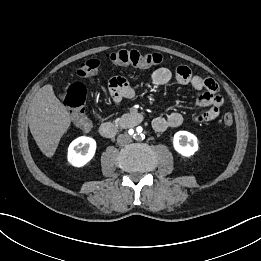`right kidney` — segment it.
Returning <instances> with one entry per match:
<instances>
[{
    "instance_id": "ca27d5eb",
    "label": "right kidney",
    "mask_w": 261,
    "mask_h": 261,
    "mask_svg": "<svg viewBox=\"0 0 261 261\" xmlns=\"http://www.w3.org/2000/svg\"><path fill=\"white\" fill-rule=\"evenodd\" d=\"M96 141L93 138L81 136L69 145L68 161L75 167H82L94 156Z\"/></svg>"
}]
</instances>
